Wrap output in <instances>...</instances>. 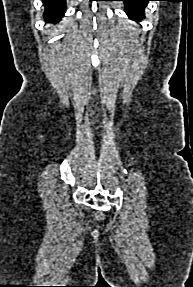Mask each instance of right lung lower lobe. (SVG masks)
Listing matches in <instances>:
<instances>
[{
  "instance_id": "obj_1",
  "label": "right lung lower lobe",
  "mask_w": 193,
  "mask_h": 287,
  "mask_svg": "<svg viewBox=\"0 0 193 287\" xmlns=\"http://www.w3.org/2000/svg\"><path fill=\"white\" fill-rule=\"evenodd\" d=\"M45 6L44 18L47 22L56 23L64 15L66 0H42Z\"/></svg>"
}]
</instances>
